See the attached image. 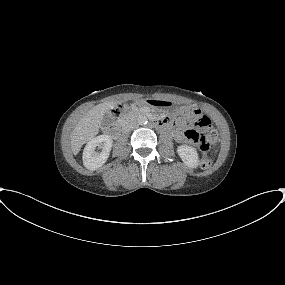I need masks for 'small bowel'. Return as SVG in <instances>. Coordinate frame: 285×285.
<instances>
[{
	"instance_id": "1",
	"label": "small bowel",
	"mask_w": 285,
	"mask_h": 285,
	"mask_svg": "<svg viewBox=\"0 0 285 285\" xmlns=\"http://www.w3.org/2000/svg\"><path fill=\"white\" fill-rule=\"evenodd\" d=\"M197 114H199V111H195ZM175 139L179 142L185 140L184 134L181 130L177 129L174 133Z\"/></svg>"
}]
</instances>
